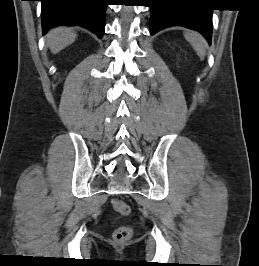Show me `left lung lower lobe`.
Wrapping results in <instances>:
<instances>
[{
    "mask_svg": "<svg viewBox=\"0 0 259 266\" xmlns=\"http://www.w3.org/2000/svg\"><path fill=\"white\" fill-rule=\"evenodd\" d=\"M151 4L150 34L171 27L183 26L199 31L211 43L212 10L193 4L191 0H149Z\"/></svg>",
    "mask_w": 259,
    "mask_h": 266,
    "instance_id": "obj_1",
    "label": "left lung lower lobe"
}]
</instances>
